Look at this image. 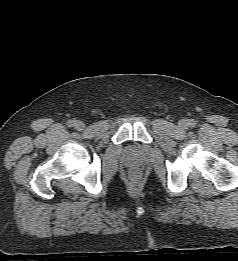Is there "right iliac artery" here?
<instances>
[{"instance_id": "82829eb1", "label": "right iliac artery", "mask_w": 238, "mask_h": 261, "mask_svg": "<svg viewBox=\"0 0 238 261\" xmlns=\"http://www.w3.org/2000/svg\"><path fill=\"white\" fill-rule=\"evenodd\" d=\"M67 126H68V127H73V126H74V121L69 120V121L67 122Z\"/></svg>"}]
</instances>
